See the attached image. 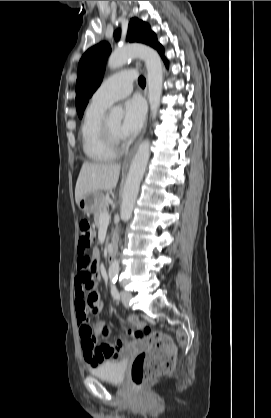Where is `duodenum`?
I'll list each match as a JSON object with an SVG mask.
<instances>
[{
    "label": "duodenum",
    "mask_w": 271,
    "mask_h": 418,
    "mask_svg": "<svg viewBox=\"0 0 271 418\" xmlns=\"http://www.w3.org/2000/svg\"><path fill=\"white\" fill-rule=\"evenodd\" d=\"M116 249H117V237L113 236L111 243L108 247V256L109 259H112L116 253Z\"/></svg>",
    "instance_id": "duodenum-1"
}]
</instances>
